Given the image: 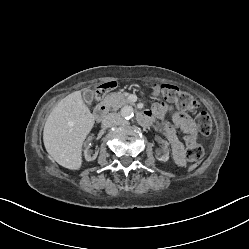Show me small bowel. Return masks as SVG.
Here are the masks:
<instances>
[{
	"label": "small bowel",
	"mask_w": 249,
	"mask_h": 249,
	"mask_svg": "<svg viewBox=\"0 0 249 249\" xmlns=\"http://www.w3.org/2000/svg\"><path fill=\"white\" fill-rule=\"evenodd\" d=\"M145 114L150 121L154 118H171V122L165 123L162 130L171 145L175 162L182 165L184 163L183 143L178 136V132L182 134L195 133V125L192 118L180 110L170 111L163 103L154 104Z\"/></svg>",
	"instance_id": "c3829d8e"
}]
</instances>
